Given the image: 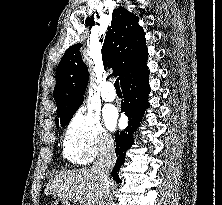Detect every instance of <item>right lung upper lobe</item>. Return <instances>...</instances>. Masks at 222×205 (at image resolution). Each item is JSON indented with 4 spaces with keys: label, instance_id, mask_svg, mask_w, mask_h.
I'll return each instance as SVG.
<instances>
[{
    "label": "right lung upper lobe",
    "instance_id": "right-lung-upper-lobe-1",
    "mask_svg": "<svg viewBox=\"0 0 222 205\" xmlns=\"http://www.w3.org/2000/svg\"><path fill=\"white\" fill-rule=\"evenodd\" d=\"M139 17L123 7L113 10L111 26L105 36L102 59L104 67L113 68L120 83L147 67L145 33L138 24ZM67 49L57 70L53 91L57 105L56 120L73 116L84 99L88 83V69L82 61L80 47Z\"/></svg>",
    "mask_w": 222,
    "mask_h": 205
}]
</instances>
